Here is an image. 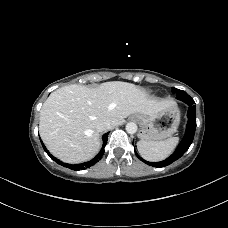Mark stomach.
Listing matches in <instances>:
<instances>
[{"instance_id": "obj_1", "label": "stomach", "mask_w": 228, "mask_h": 228, "mask_svg": "<svg viewBox=\"0 0 228 228\" xmlns=\"http://www.w3.org/2000/svg\"><path fill=\"white\" fill-rule=\"evenodd\" d=\"M134 118L140 123L139 138L144 141H159L172 136L180 122V112L175 103L171 102L162 111L143 115L136 113Z\"/></svg>"}]
</instances>
